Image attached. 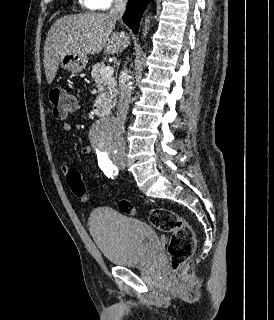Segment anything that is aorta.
Masks as SVG:
<instances>
[{"mask_svg": "<svg viewBox=\"0 0 274 320\" xmlns=\"http://www.w3.org/2000/svg\"><path fill=\"white\" fill-rule=\"evenodd\" d=\"M123 126L120 120L104 119L95 127L93 141L99 150H113L122 141Z\"/></svg>", "mask_w": 274, "mask_h": 320, "instance_id": "762f6f07", "label": "aorta"}]
</instances>
